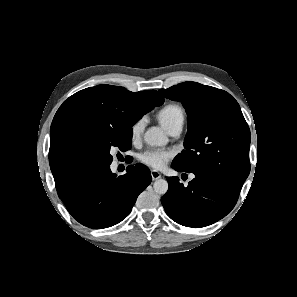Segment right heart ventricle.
Wrapping results in <instances>:
<instances>
[{
  "instance_id": "right-heart-ventricle-1",
  "label": "right heart ventricle",
  "mask_w": 297,
  "mask_h": 297,
  "mask_svg": "<svg viewBox=\"0 0 297 297\" xmlns=\"http://www.w3.org/2000/svg\"><path fill=\"white\" fill-rule=\"evenodd\" d=\"M157 118L161 125L169 132L174 127L183 125L185 115L180 105L170 103L158 111Z\"/></svg>"
}]
</instances>
